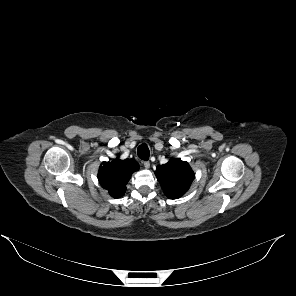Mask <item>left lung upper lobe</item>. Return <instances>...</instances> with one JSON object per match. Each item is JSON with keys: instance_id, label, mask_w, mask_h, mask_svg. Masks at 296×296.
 <instances>
[{"instance_id": "1", "label": "left lung upper lobe", "mask_w": 296, "mask_h": 296, "mask_svg": "<svg viewBox=\"0 0 296 296\" xmlns=\"http://www.w3.org/2000/svg\"><path fill=\"white\" fill-rule=\"evenodd\" d=\"M155 175L165 195L170 199L181 197L194 179V173L189 164L180 159H172L158 166Z\"/></svg>"}]
</instances>
